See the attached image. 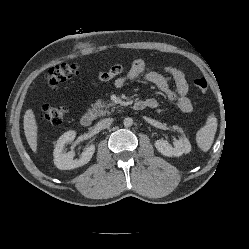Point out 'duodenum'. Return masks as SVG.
Returning a JSON list of instances; mask_svg holds the SVG:
<instances>
[{"mask_svg": "<svg viewBox=\"0 0 249 249\" xmlns=\"http://www.w3.org/2000/svg\"><path fill=\"white\" fill-rule=\"evenodd\" d=\"M135 110H143L146 108V103L142 100H138L133 105ZM93 120V116L91 113H84L80 118V123L84 127H88L91 125Z\"/></svg>", "mask_w": 249, "mask_h": 249, "instance_id": "1", "label": "duodenum"}]
</instances>
